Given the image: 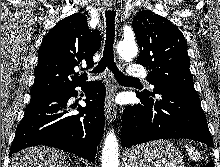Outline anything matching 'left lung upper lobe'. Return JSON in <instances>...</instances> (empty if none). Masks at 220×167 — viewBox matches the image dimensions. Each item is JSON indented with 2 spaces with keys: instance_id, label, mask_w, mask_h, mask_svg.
Here are the masks:
<instances>
[{
  "instance_id": "left-lung-upper-lobe-1",
  "label": "left lung upper lobe",
  "mask_w": 220,
  "mask_h": 167,
  "mask_svg": "<svg viewBox=\"0 0 220 167\" xmlns=\"http://www.w3.org/2000/svg\"><path fill=\"white\" fill-rule=\"evenodd\" d=\"M132 27L140 48L137 63L149 70L147 80L154 85L153 93H143L153 95L169 85L195 90L187 43L181 31L150 10L138 12Z\"/></svg>"
}]
</instances>
